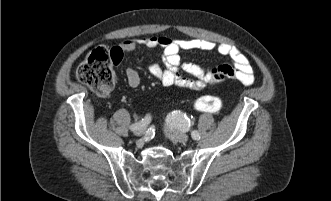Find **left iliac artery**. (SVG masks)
I'll list each match as a JSON object with an SVG mask.
<instances>
[{
    "instance_id": "left-iliac-artery-1",
    "label": "left iliac artery",
    "mask_w": 331,
    "mask_h": 201,
    "mask_svg": "<svg viewBox=\"0 0 331 201\" xmlns=\"http://www.w3.org/2000/svg\"><path fill=\"white\" fill-rule=\"evenodd\" d=\"M166 122L172 129L181 130L183 132L189 131L193 125L191 119L180 110L172 111L167 116ZM191 136L194 140L200 139L199 133L195 130L191 132Z\"/></svg>"
}]
</instances>
